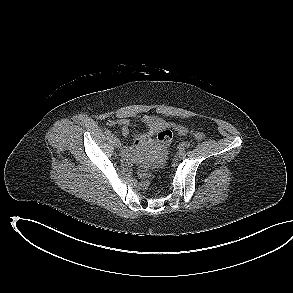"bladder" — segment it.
I'll return each instance as SVG.
<instances>
[{"label": "bladder", "mask_w": 293, "mask_h": 293, "mask_svg": "<svg viewBox=\"0 0 293 293\" xmlns=\"http://www.w3.org/2000/svg\"><path fill=\"white\" fill-rule=\"evenodd\" d=\"M142 164H143L145 167H148V166H149V162H148V161H143Z\"/></svg>", "instance_id": "bladder-1"}]
</instances>
